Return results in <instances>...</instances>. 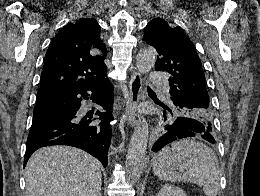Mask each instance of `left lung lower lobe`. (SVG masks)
I'll use <instances>...</instances> for the list:
<instances>
[{"instance_id": "left-lung-lower-lobe-1", "label": "left lung lower lobe", "mask_w": 260, "mask_h": 196, "mask_svg": "<svg viewBox=\"0 0 260 196\" xmlns=\"http://www.w3.org/2000/svg\"><path fill=\"white\" fill-rule=\"evenodd\" d=\"M201 136L210 143H215L213 126H208L200 121L190 118H179L166 127L165 133L153 145L154 152L159 151L165 145L180 138Z\"/></svg>"}]
</instances>
